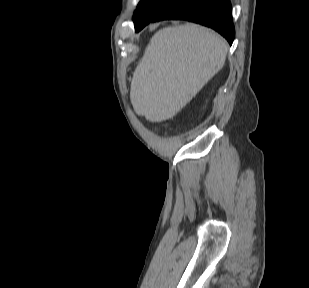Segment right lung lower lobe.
I'll list each match as a JSON object with an SVG mask.
<instances>
[{
  "instance_id": "98d812e1",
  "label": "right lung lower lobe",
  "mask_w": 309,
  "mask_h": 288,
  "mask_svg": "<svg viewBox=\"0 0 309 288\" xmlns=\"http://www.w3.org/2000/svg\"><path fill=\"white\" fill-rule=\"evenodd\" d=\"M175 19L187 20L213 28L231 45L235 30L229 0H178L159 12L151 22Z\"/></svg>"
}]
</instances>
